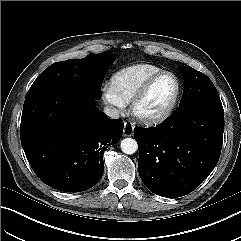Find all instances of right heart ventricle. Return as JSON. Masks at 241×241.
<instances>
[{"instance_id":"right-heart-ventricle-1","label":"right heart ventricle","mask_w":241,"mask_h":241,"mask_svg":"<svg viewBox=\"0 0 241 241\" xmlns=\"http://www.w3.org/2000/svg\"><path fill=\"white\" fill-rule=\"evenodd\" d=\"M162 70L154 64H133L116 71L111 77L110 84L127 104L151 76Z\"/></svg>"}]
</instances>
